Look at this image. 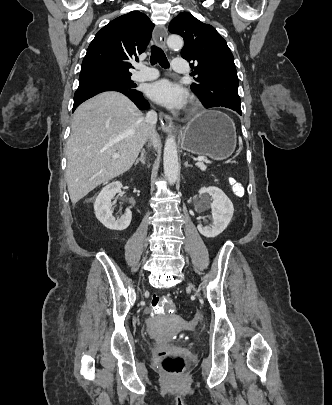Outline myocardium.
<instances>
[{
    "mask_svg": "<svg viewBox=\"0 0 332 405\" xmlns=\"http://www.w3.org/2000/svg\"><path fill=\"white\" fill-rule=\"evenodd\" d=\"M196 109V104L194 102L191 103L190 110L193 111Z\"/></svg>",
    "mask_w": 332,
    "mask_h": 405,
    "instance_id": "myocardium-1",
    "label": "myocardium"
}]
</instances>
